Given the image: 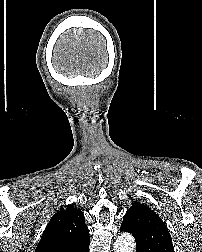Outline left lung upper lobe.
I'll return each mask as SVG.
<instances>
[{"mask_svg":"<svg viewBox=\"0 0 202 252\" xmlns=\"http://www.w3.org/2000/svg\"><path fill=\"white\" fill-rule=\"evenodd\" d=\"M136 241V252H174L170 233L162 219L148 206L135 202L121 225Z\"/></svg>","mask_w":202,"mask_h":252,"instance_id":"5c2ea615","label":"left lung upper lobe"}]
</instances>
